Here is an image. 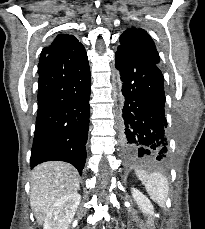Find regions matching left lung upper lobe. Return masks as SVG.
<instances>
[{
  "instance_id": "obj_1",
  "label": "left lung upper lobe",
  "mask_w": 205,
  "mask_h": 229,
  "mask_svg": "<svg viewBox=\"0 0 205 229\" xmlns=\"http://www.w3.org/2000/svg\"><path fill=\"white\" fill-rule=\"evenodd\" d=\"M140 56L159 64L160 58L154 41L150 35L141 28L132 27L120 36V45Z\"/></svg>"
}]
</instances>
